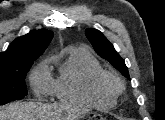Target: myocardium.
Returning <instances> with one entry per match:
<instances>
[{"label":"myocardium","mask_w":165,"mask_h":120,"mask_svg":"<svg viewBox=\"0 0 165 120\" xmlns=\"http://www.w3.org/2000/svg\"><path fill=\"white\" fill-rule=\"evenodd\" d=\"M93 87L99 93L117 97L123 90V83L116 74L103 70L94 77Z\"/></svg>","instance_id":"myocardium-1"}]
</instances>
